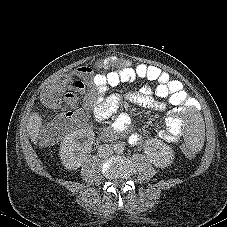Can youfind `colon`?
Here are the masks:
<instances>
[{"instance_id":"obj_1","label":"colon","mask_w":227,"mask_h":227,"mask_svg":"<svg viewBox=\"0 0 227 227\" xmlns=\"http://www.w3.org/2000/svg\"><path fill=\"white\" fill-rule=\"evenodd\" d=\"M125 68V61L123 59L97 60L95 62V69L97 71L123 70ZM69 79L61 76L50 83L46 84L40 92L41 103L50 109L62 110L64 109L63 93L68 88ZM70 128V123L65 118H57L43 131L41 143L50 145L58 142ZM180 153L185 160L191 162L195 155L191 152L189 146L184 145L180 149Z\"/></svg>"}]
</instances>
